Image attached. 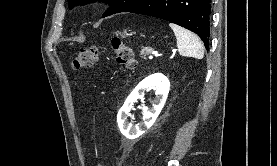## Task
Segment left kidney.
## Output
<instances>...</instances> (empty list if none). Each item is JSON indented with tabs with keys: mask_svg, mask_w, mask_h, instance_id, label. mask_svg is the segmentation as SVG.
Instances as JSON below:
<instances>
[{
	"mask_svg": "<svg viewBox=\"0 0 277 166\" xmlns=\"http://www.w3.org/2000/svg\"><path fill=\"white\" fill-rule=\"evenodd\" d=\"M152 87H154L156 90V99L152 104V108H143L144 122L133 126L127 120L128 115L133 109V105L137 101V99L142 98L144 96L145 90ZM169 89L170 82L168 78L162 73L152 74L142 80L127 97L123 106L118 112L117 123L120 132L129 139H135L143 135L150 127H152L161 110L163 109Z\"/></svg>",
	"mask_w": 277,
	"mask_h": 166,
	"instance_id": "obj_1",
	"label": "left kidney"
}]
</instances>
